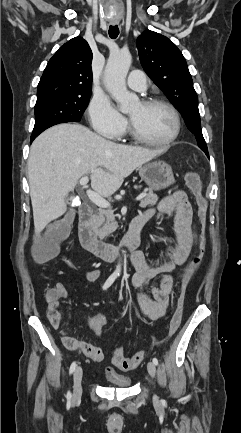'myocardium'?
Returning a JSON list of instances; mask_svg holds the SVG:
<instances>
[{"label": "myocardium", "mask_w": 241, "mask_h": 433, "mask_svg": "<svg viewBox=\"0 0 241 433\" xmlns=\"http://www.w3.org/2000/svg\"><path fill=\"white\" fill-rule=\"evenodd\" d=\"M141 104L144 106H147V107L163 106V107L167 108L172 113V115L174 117L175 129H174L173 134L169 138H167L166 140L153 141V140H150V139L144 137L135 128L132 121L130 120L129 121V129H130V133H131L132 137L136 141H138L142 144L154 146V147H164V146H168V145L172 144L178 138L180 131H181V118H180V114H179L178 110L170 102H168L164 99H160V98L147 99V100H144Z\"/></svg>", "instance_id": "1"}]
</instances>
